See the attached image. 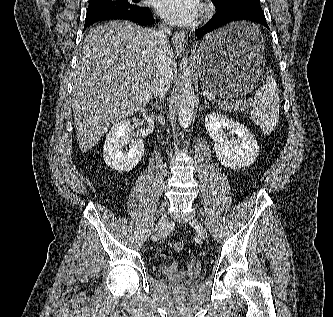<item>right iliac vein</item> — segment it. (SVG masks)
<instances>
[{
	"label": "right iliac vein",
	"mask_w": 333,
	"mask_h": 317,
	"mask_svg": "<svg viewBox=\"0 0 333 317\" xmlns=\"http://www.w3.org/2000/svg\"><path fill=\"white\" fill-rule=\"evenodd\" d=\"M168 227H169L168 219L166 215L163 213V210H161L159 220L152 234V240L156 241L163 238L168 231Z\"/></svg>",
	"instance_id": "right-iliac-vein-1"
}]
</instances>
